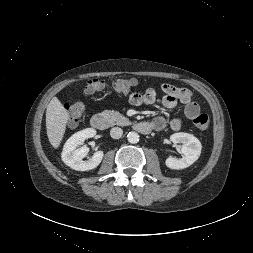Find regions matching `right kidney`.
<instances>
[{
  "label": "right kidney",
  "mask_w": 253,
  "mask_h": 253,
  "mask_svg": "<svg viewBox=\"0 0 253 253\" xmlns=\"http://www.w3.org/2000/svg\"><path fill=\"white\" fill-rule=\"evenodd\" d=\"M96 130L87 128L73 134L65 143L61 158L62 161L70 168L77 171H88L96 168L102 161L103 151H97L93 154L92 158L83 161V158L88 154L89 148L82 146L77 149V146L82 144L86 139L94 137Z\"/></svg>",
  "instance_id": "ca27d5eb"
}]
</instances>
